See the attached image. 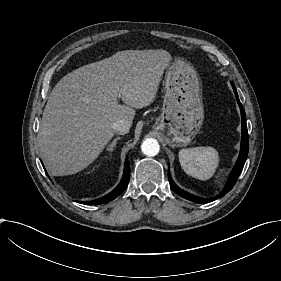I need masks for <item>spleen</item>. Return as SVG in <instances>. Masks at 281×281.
<instances>
[{"label":"spleen","mask_w":281,"mask_h":281,"mask_svg":"<svg viewBox=\"0 0 281 281\" xmlns=\"http://www.w3.org/2000/svg\"><path fill=\"white\" fill-rule=\"evenodd\" d=\"M178 155L185 173L200 180L210 179L219 163L218 152L209 146L182 149Z\"/></svg>","instance_id":"1"}]
</instances>
